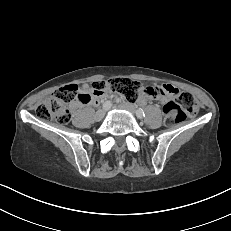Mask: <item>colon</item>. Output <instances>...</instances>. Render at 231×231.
Listing matches in <instances>:
<instances>
[{"mask_svg": "<svg viewBox=\"0 0 231 231\" xmlns=\"http://www.w3.org/2000/svg\"><path fill=\"white\" fill-rule=\"evenodd\" d=\"M146 86L129 78H110L92 85L95 94L105 91L116 92L125 99L134 101L145 92ZM88 95L79 91L74 84L66 85L58 89L54 94L44 99L36 109V116L44 121H55L66 124L71 119L70 104L75 101H84ZM167 125L177 124L188 117H194L197 112V104L194 97L186 92L177 93L176 99L168 101L163 108Z\"/></svg>", "mask_w": 231, "mask_h": 231, "instance_id": "colon-1", "label": "colon"}]
</instances>
